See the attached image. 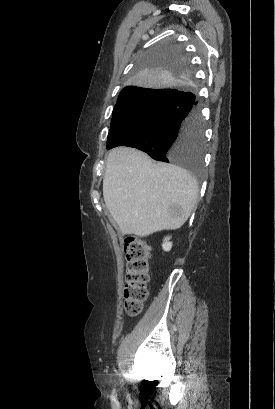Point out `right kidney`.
Instances as JSON below:
<instances>
[{"label": "right kidney", "mask_w": 275, "mask_h": 409, "mask_svg": "<svg viewBox=\"0 0 275 409\" xmlns=\"http://www.w3.org/2000/svg\"><path fill=\"white\" fill-rule=\"evenodd\" d=\"M170 237H165L164 243L162 245L163 251H171L172 243L169 241Z\"/></svg>", "instance_id": "right-kidney-1"}]
</instances>
